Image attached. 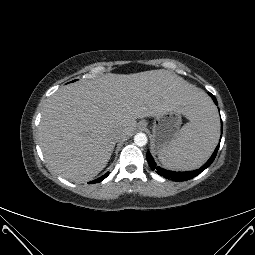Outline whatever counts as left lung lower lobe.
Listing matches in <instances>:
<instances>
[{
    "label": "left lung lower lobe",
    "mask_w": 255,
    "mask_h": 255,
    "mask_svg": "<svg viewBox=\"0 0 255 255\" xmlns=\"http://www.w3.org/2000/svg\"><path fill=\"white\" fill-rule=\"evenodd\" d=\"M209 95L212 97L215 104L218 105L215 96H213L211 93H209ZM218 149H219V145L216 147V149L213 152L210 159L200 169H197L194 171L173 172V171L165 170V169L156 165V163L149 151L147 152V161L149 163L150 168L152 170H154L156 173H158L160 176H163L166 179H171L174 181H186V180L192 179L193 177L199 175L202 171H204L206 168H208L211 165V163L214 161Z\"/></svg>",
    "instance_id": "left-lung-lower-lobe-1"
}]
</instances>
